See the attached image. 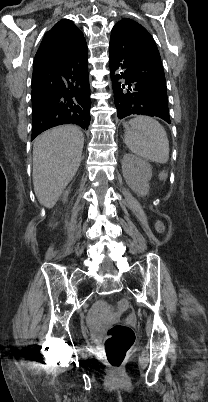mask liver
<instances>
[{
  "label": "liver",
  "instance_id": "liver-1",
  "mask_svg": "<svg viewBox=\"0 0 208 402\" xmlns=\"http://www.w3.org/2000/svg\"><path fill=\"white\" fill-rule=\"evenodd\" d=\"M83 146L77 126H58L34 140L33 186L39 204L55 206L80 166Z\"/></svg>",
  "mask_w": 208,
  "mask_h": 402
}]
</instances>
